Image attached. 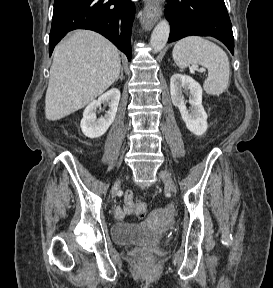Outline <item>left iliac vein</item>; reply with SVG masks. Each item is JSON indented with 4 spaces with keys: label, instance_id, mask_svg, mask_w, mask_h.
Segmentation results:
<instances>
[{
    "label": "left iliac vein",
    "instance_id": "obj_1",
    "mask_svg": "<svg viewBox=\"0 0 273 288\" xmlns=\"http://www.w3.org/2000/svg\"><path fill=\"white\" fill-rule=\"evenodd\" d=\"M159 177L164 182L165 186L173 193H177V187L173 182L169 173L165 171H159Z\"/></svg>",
    "mask_w": 273,
    "mask_h": 288
}]
</instances>
